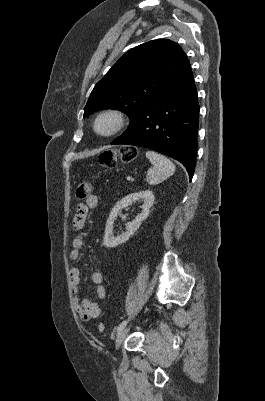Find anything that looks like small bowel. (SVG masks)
<instances>
[{
	"label": "small bowel",
	"instance_id": "c3829d8e",
	"mask_svg": "<svg viewBox=\"0 0 265 401\" xmlns=\"http://www.w3.org/2000/svg\"><path fill=\"white\" fill-rule=\"evenodd\" d=\"M98 206V197L91 195L84 203L78 205L75 216L73 218V228L81 230L86 222L90 209ZM86 240L82 235L76 236L72 240V249L69 252V258L72 261H77L80 257V251L85 246ZM71 288L74 294V308L80 320L86 322L97 318L101 314V306L97 302L91 301L87 297H78L80 285V271L76 267H72L69 272ZM91 281L95 287V292L98 298L103 299L107 295V290L104 285V275L99 271H94L91 274Z\"/></svg>",
	"mask_w": 265,
	"mask_h": 401
}]
</instances>
